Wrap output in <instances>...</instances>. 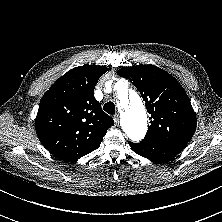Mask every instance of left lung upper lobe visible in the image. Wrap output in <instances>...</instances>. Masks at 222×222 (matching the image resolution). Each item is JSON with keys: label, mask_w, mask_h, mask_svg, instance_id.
<instances>
[{"label": "left lung upper lobe", "mask_w": 222, "mask_h": 222, "mask_svg": "<svg viewBox=\"0 0 222 222\" xmlns=\"http://www.w3.org/2000/svg\"><path fill=\"white\" fill-rule=\"evenodd\" d=\"M133 81L146 102L150 126L143 141L187 144L196 129V114L182 86L168 72L139 65L118 70Z\"/></svg>", "instance_id": "5c2ea615"}]
</instances>
